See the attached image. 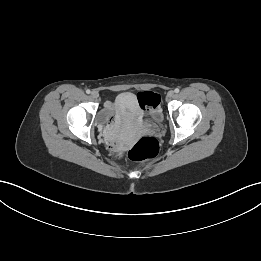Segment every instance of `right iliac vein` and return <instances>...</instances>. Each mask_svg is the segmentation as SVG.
<instances>
[{"label": "right iliac vein", "mask_w": 261, "mask_h": 261, "mask_svg": "<svg viewBox=\"0 0 261 261\" xmlns=\"http://www.w3.org/2000/svg\"><path fill=\"white\" fill-rule=\"evenodd\" d=\"M91 96H92L93 98H98V97H99V93H98L97 91H92V92H91Z\"/></svg>", "instance_id": "63e3f726"}]
</instances>
